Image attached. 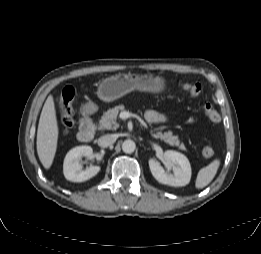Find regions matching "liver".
I'll return each mask as SVG.
<instances>
[{
	"label": "liver",
	"instance_id": "obj_1",
	"mask_svg": "<svg viewBox=\"0 0 261 254\" xmlns=\"http://www.w3.org/2000/svg\"><path fill=\"white\" fill-rule=\"evenodd\" d=\"M59 135V127L53 96L50 95L43 106L38 130L37 153L45 169H49L53 163Z\"/></svg>",
	"mask_w": 261,
	"mask_h": 254
}]
</instances>
